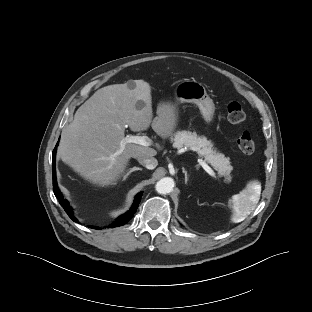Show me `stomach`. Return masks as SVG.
<instances>
[{
    "label": "stomach",
    "instance_id": "0dacf381",
    "mask_svg": "<svg viewBox=\"0 0 312 312\" xmlns=\"http://www.w3.org/2000/svg\"><path fill=\"white\" fill-rule=\"evenodd\" d=\"M175 98L179 103H194L207 123L212 122L215 105L208 96L205 87L195 80H184L175 88Z\"/></svg>",
    "mask_w": 312,
    "mask_h": 312
}]
</instances>
